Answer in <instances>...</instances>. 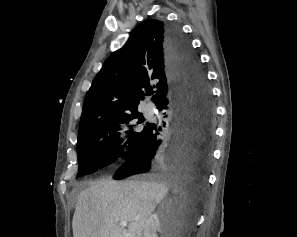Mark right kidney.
I'll use <instances>...</instances> for the list:
<instances>
[{"mask_svg":"<svg viewBox=\"0 0 297 237\" xmlns=\"http://www.w3.org/2000/svg\"><path fill=\"white\" fill-rule=\"evenodd\" d=\"M163 232L164 237H172L171 234L167 233L164 228L163 224L160 222L159 215L157 213L152 214L144 228V236L143 237H158L156 232Z\"/></svg>","mask_w":297,"mask_h":237,"instance_id":"1","label":"right kidney"}]
</instances>
